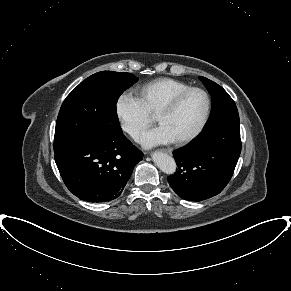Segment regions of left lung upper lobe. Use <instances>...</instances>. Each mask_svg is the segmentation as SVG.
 <instances>
[{"instance_id": "1", "label": "left lung upper lobe", "mask_w": 291, "mask_h": 291, "mask_svg": "<svg viewBox=\"0 0 291 291\" xmlns=\"http://www.w3.org/2000/svg\"><path fill=\"white\" fill-rule=\"evenodd\" d=\"M212 99L210 118L198 137L221 127H240L239 114L235 102L217 83L200 76Z\"/></svg>"}]
</instances>
